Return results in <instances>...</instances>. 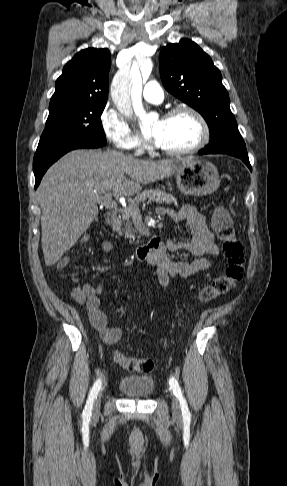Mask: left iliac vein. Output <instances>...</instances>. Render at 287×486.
I'll return each instance as SVG.
<instances>
[{
  "instance_id": "left-iliac-vein-1",
  "label": "left iliac vein",
  "mask_w": 287,
  "mask_h": 486,
  "mask_svg": "<svg viewBox=\"0 0 287 486\" xmlns=\"http://www.w3.org/2000/svg\"><path fill=\"white\" fill-rule=\"evenodd\" d=\"M172 413L177 419L181 418L182 416L179 400L174 393H172Z\"/></svg>"
}]
</instances>
